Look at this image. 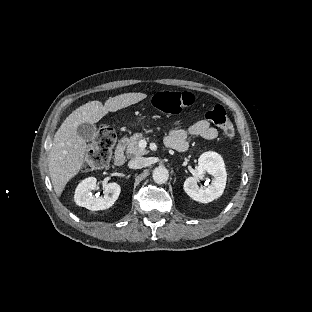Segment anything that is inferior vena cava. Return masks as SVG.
<instances>
[{
	"mask_svg": "<svg viewBox=\"0 0 312 312\" xmlns=\"http://www.w3.org/2000/svg\"><path fill=\"white\" fill-rule=\"evenodd\" d=\"M146 166V159L144 157H137L129 161L128 167L130 169H141Z\"/></svg>",
	"mask_w": 312,
	"mask_h": 312,
	"instance_id": "1",
	"label": "inferior vena cava"
}]
</instances>
